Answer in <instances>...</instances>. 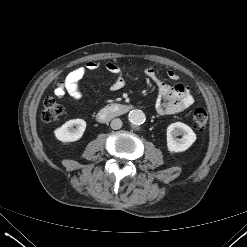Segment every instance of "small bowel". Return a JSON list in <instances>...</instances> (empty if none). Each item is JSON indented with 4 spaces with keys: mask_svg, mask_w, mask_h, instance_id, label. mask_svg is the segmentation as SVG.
<instances>
[{
    "mask_svg": "<svg viewBox=\"0 0 247 247\" xmlns=\"http://www.w3.org/2000/svg\"><path fill=\"white\" fill-rule=\"evenodd\" d=\"M105 67L115 76L111 84V90H121L125 86V80L120 67L111 62L107 63ZM98 68L99 64L94 61L87 62L85 65L75 68L57 85L54 90L55 95L62 98L67 94L73 101L80 102L82 100V93L79 88L80 80L87 72L95 71ZM144 73L157 87L158 94L155 108L159 114H177L185 111L193 103L194 99L188 86L182 83H176L174 85L166 83L160 78L153 67H147ZM167 75L172 81L178 79V75L173 70H168Z\"/></svg>",
    "mask_w": 247,
    "mask_h": 247,
    "instance_id": "1",
    "label": "small bowel"
}]
</instances>
